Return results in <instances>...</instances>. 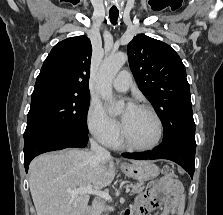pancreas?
Returning <instances> with one entry per match:
<instances>
[{
	"label": "pancreas",
	"mask_w": 223,
	"mask_h": 215,
	"mask_svg": "<svg viewBox=\"0 0 223 215\" xmlns=\"http://www.w3.org/2000/svg\"><path fill=\"white\" fill-rule=\"evenodd\" d=\"M126 187H132L131 195H133V193H140V191H143L144 183L143 184L130 183V185H126Z\"/></svg>",
	"instance_id": "1"
}]
</instances>
